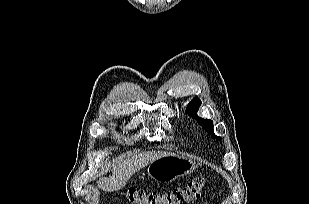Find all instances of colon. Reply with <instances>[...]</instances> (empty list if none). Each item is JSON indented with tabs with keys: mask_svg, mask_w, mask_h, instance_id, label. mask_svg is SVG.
<instances>
[{
	"mask_svg": "<svg viewBox=\"0 0 309 204\" xmlns=\"http://www.w3.org/2000/svg\"><path fill=\"white\" fill-rule=\"evenodd\" d=\"M205 186V177L199 176L186 185L169 192L129 189L124 192V196L131 204H191L200 197Z\"/></svg>",
	"mask_w": 309,
	"mask_h": 204,
	"instance_id": "1",
	"label": "colon"
}]
</instances>
